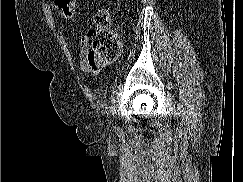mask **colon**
I'll return each instance as SVG.
<instances>
[{"label":"colon","mask_w":243,"mask_h":182,"mask_svg":"<svg viewBox=\"0 0 243 182\" xmlns=\"http://www.w3.org/2000/svg\"><path fill=\"white\" fill-rule=\"evenodd\" d=\"M76 0H55V7L64 19L74 16ZM95 26L89 32L91 44L90 55L103 60L115 59L121 50L118 36L111 29L109 13L100 10L94 17Z\"/></svg>","instance_id":"5ec220e1"}]
</instances>
